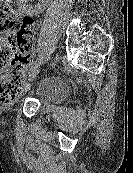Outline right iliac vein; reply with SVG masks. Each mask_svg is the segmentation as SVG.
<instances>
[{"label":"right iliac vein","mask_w":133,"mask_h":173,"mask_svg":"<svg viewBox=\"0 0 133 173\" xmlns=\"http://www.w3.org/2000/svg\"><path fill=\"white\" fill-rule=\"evenodd\" d=\"M39 71H40V65L34 66L29 72L28 80H33L38 75Z\"/></svg>","instance_id":"63e3f726"}]
</instances>
